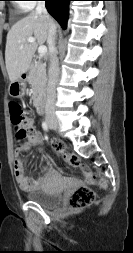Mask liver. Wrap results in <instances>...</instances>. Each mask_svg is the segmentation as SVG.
I'll list each match as a JSON object with an SVG mask.
<instances>
[{"mask_svg":"<svg viewBox=\"0 0 133 253\" xmlns=\"http://www.w3.org/2000/svg\"><path fill=\"white\" fill-rule=\"evenodd\" d=\"M51 21L54 23L52 19ZM48 28V19L42 14L32 12L15 23L9 30L5 49V63L11 83L18 80L30 68L32 57L38 45H43L47 40ZM33 36L35 42H28L27 39Z\"/></svg>","mask_w":133,"mask_h":253,"instance_id":"liver-1","label":"liver"}]
</instances>
